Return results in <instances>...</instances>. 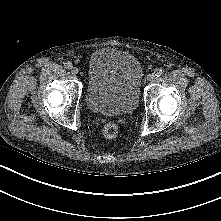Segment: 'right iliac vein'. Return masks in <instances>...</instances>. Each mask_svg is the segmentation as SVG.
Instances as JSON below:
<instances>
[{"mask_svg": "<svg viewBox=\"0 0 221 221\" xmlns=\"http://www.w3.org/2000/svg\"><path fill=\"white\" fill-rule=\"evenodd\" d=\"M78 72H79V70H78L77 67H72V68H71V73H72L73 75L78 74Z\"/></svg>", "mask_w": 221, "mask_h": 221, "instance_id": "right-iliac-vein-1", "label": "right iliac vein"}]
</instances>
